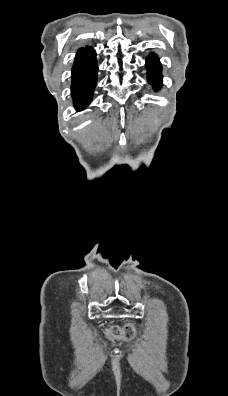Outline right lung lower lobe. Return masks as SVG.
Returning a JSON list of instances; mask_svg holds the SVG:
<instances>
[{
    "instance_id": "98d812e1",
    "label": "right lung lower lobe",
    "mask_w": 228,
    "mask_h": 396,
    "mask_svg": "<svg viewBox=\"0 0 228 396\" xmlns=\"http://www.w3.org/2000/svg\"><path fill=\"white\" fill-rule=\"evenodd\" d=\"M93 49L86 47L76 54L72 68L71 93L78 110L84 109L92 99L97 81V61Z\"/></svg>"
}]
</instances>
